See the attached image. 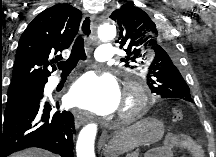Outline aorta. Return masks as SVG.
<instances>
[{
	"label": "aorta",
	"instance_id": "762f6f07",
	"mask_svg": "<svg viewBox=\"0 0 216 157\" xmlns=\"http://www.w3.org/2000/svg\"><path fill=\"white\" fill-rule=\"evenodd\" d=\"M116 36V27L113 24H103L98 28V37L102 41L113 40ZM97 133V125L94 123L87 124L81 130L77 145V157H95L94 141Z\"/></svg>",
	"mask_w": 216,
	"mask_h": 157
}]
</instances>
